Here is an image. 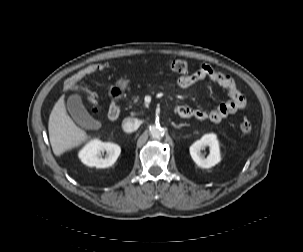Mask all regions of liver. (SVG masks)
Listing matches in <instances>:
<instances>
[{
  "mask_svg": "<svg viewBox=\"0 0 303 252\" xmlns=\"http://www.w3.org/2000/svg\"><path fill=\"white\" fill-rule=\"evenodd\" d=\"M49 140L56 156L78 147L91 138L67 114L64 97L55 104L49 117Z\"/></svg>",
  "mask_w": 303,
  "mask_h": 252,
  "instance_id": "1",
  "label": "liver"
}]
</instances>
